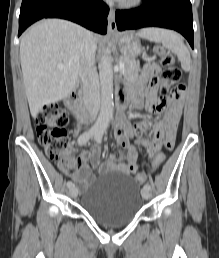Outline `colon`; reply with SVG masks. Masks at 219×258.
<instances>
[{
  "instance_id": "1",
  "label": "colon",
  "mask_w": 219,
  "mask_h": 258,
  "mask_svg": "<svg viewBox=\"0 0 219 258\" xmlns=\"http://www.w3.org/2000/svg\"><path fill=\"white\" fill-rule=\"evenodd\" d=\"M160 57L162 72L159 81L161 96L169 93L176 97L184 94L185 86L181 83L182 71L177 67L174 56L163 47L156 49ZM36 134L48 158L57 162L62 170L73 174L74 165L67 158L69 141L67 137L68 116L52 104L45 105L35 116ZM165 161L163 153H158L152 162V171H158ZM146 173H137L135 179L139 183L147 180Z\"/></svg>"
}]
</instances>
